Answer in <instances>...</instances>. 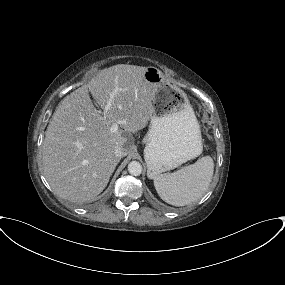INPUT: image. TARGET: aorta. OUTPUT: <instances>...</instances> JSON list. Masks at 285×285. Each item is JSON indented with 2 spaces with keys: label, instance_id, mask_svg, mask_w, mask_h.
Here are the masks:
<instances>
[{
  "label": "aorta",
  "instance_id": "762f6f07",
  "mask_svg": "<svg viewBox=\"0 0 285 285\" xmlns=\"http://www.w3.org/2000/svg\"><path fill=\"white\" fill-rule=\"evenodd\" d=\"M128 171L133 176H139L142 173V165L138 161H132L128 164Z\"/></svg>",
  "mask_w": 285,
  "mask_h": 285
}]
</instances>
